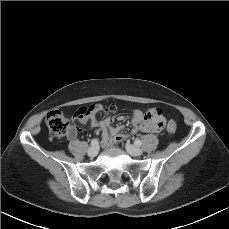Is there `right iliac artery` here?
<instances>
[{"label": "right iliac artery", "instance_id": "82829eb1", "mask_svg": "<svg viewBox=\"0 0 229 229\" xmlns=\"http://www.w3.org/2000/svg\"><path fill=\"white\" fill-rule=\"evenodd\" d=\"M99 144V141H98V139H92V141H91V146H97Z\"/></svg>", "mask_w": 229, "mask_h": 229}]
</instances>
